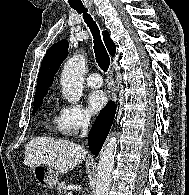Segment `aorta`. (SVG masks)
Segmentation results:
<instances>
[{
	"mask_svg": "<svg viewBox=\"0 0 189 195\" xmlns=\"http://www.w3.org/2000/svg\"><path fill=\"white\" fill-rule=\"evenodd\" d=\"M85 72L86 59L83 55L73 56L64 64L60 82L62 94L68 102L76 103L81 98ZM116 153L117 138L110 135L100 154L94 195H108Z\"/></svg>",
	"mask_w": 189,
	"mask_h": 195,
	"instance_id": "aorta-1",
	"label": "aorta"
}]
</instances>
